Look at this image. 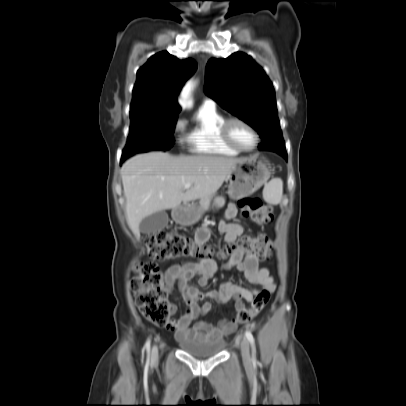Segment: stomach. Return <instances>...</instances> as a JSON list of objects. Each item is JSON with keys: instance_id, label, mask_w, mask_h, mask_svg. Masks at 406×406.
Segmentation results:
<instances>
[{"instance_id": "0dacf381", "label": "stomach", "mask_w": 406, "mask_h": 406, "mask_svg": "<svg viewBox=\"0 0 406 406\" xmlns=\"http://www.w3.org/2000/svg\"><path fill=\"white\" fill-rule=\"evenodd\" d=\"M270 176L268 163L256 156L244 158L226 177L229 181L228 195L235 200L251 195L266 184ZM202 214L203 210L196 204L179 206L172 211L173 219L185 226L198 222Z\"/></svg>"}]
</instances>
